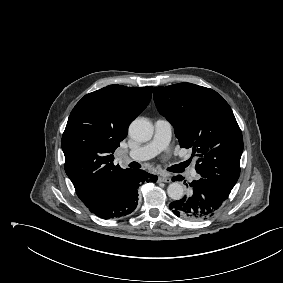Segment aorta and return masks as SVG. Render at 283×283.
Here are the masks:
<instances>
[{
	"label": "aorta",
	"mask_w": 283,
	"mask_h": 283,
	"mask_svg": "<svg viewBox=\"0 0 283 283\" xmlns=\"http://www.w3.org/2000/svg\"><path fill=\"white\" fill-rule=\"evenodd\" d=\"M130 136L139 142H146L152 138L153 126L146 118H137L129 126ZM168 196L173 200H180L184 195V188L178 182L171 183L167 188Z\"/></svg>",
	"instance_id": "aorta-1"
}]
</instances>
